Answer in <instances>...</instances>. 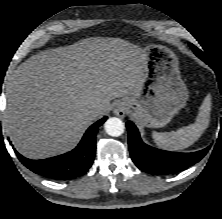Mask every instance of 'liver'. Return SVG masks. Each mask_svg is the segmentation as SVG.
I'll use <instances>...</instances> for the list:
<instances>
[{
    "label": "liver",
    "mask_w": 222,
    "mask_h": 219,
    "mask_svg": "<svg viewBox=\"0 0 222 219\" xmlns=\"http://www.w3.org/2000/svg\"><path fill=\"white\" fill-rule=\"evenodd\" d=\"M144 63V50L120 38H87L33 55L6 86V130L14 147L30 159L71 150L111 110V100L140 91ZM96 108L101 113L93 114Z\"/></svg>",
    "instance_id": "obj_1"
}]
</instances>
